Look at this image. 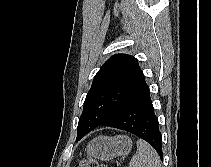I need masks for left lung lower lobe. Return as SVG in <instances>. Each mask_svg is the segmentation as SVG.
Segmentation results:
<instances>
[{
  "label": "left lung lower lobe",
  "instance_id": "left-lung-lower-lobe-1",
  "mask_svg": "<svg viewBox=\"0 0 211 167\" xmlns=\"http://www.w3.org/2000/svg\"><path fill=\"white\" fill-rule=\"evenodd\" d=\"M104 126L135 134L151 144L159 156L163 157L162 135L159 131L158 118L154 113L148 86L128 101Z\"/></svg>",
  "mask_w": 211,
  "mask_h": 167
}]
</instances>
